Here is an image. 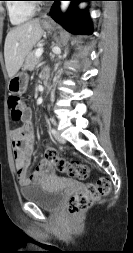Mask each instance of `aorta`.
<instances>
[{
	"label": "aorta",
	"mask_w": 133,
	"mask_h": 253,
	"mask_svg": "<svg viewBox=\"0 0 133 253\" xmlns=\"http://www.w3.org/2000/svg\"><path fill=\"white\" fill-rule=\"evenodd\" d=\"M69 1H61L60 2V9L62 12H65L69 7Z\"/></svg>",
	"instance_id": "1"
}]
</instances>
